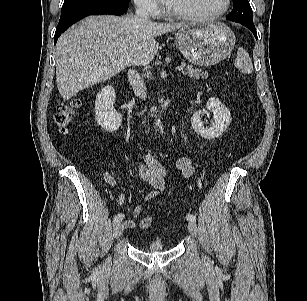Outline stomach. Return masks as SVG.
<instances>
[{"label": "stomach", "mask_w": 307, "mask_h": 301, "mask_svg": "<svg viewBox=\"0 0 307 301\" xmlns=\"http://www.w3.org/2000/svg\"><path fill=\"white\" fill-rule=\"evenodd\" d=\"M175 42L188 61L198 66H211L231 53L235 35L220 22L189 23L175 34Z\"/></svg>", "instance_id": "obj_1"}]
</instances>
